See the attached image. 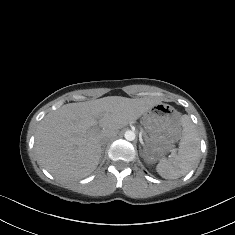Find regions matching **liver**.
I'll return each mask as SVG.
<instances>
[{
	"mask_svg": "<svg viewBox=\"0 0 235 235\" xmlns=\"http://www.w3.org/2000/svg\"><path fill=\"white\" fill-rule=\"evenodd\" d=\"M160 102L156 97H105L66 104L48 113L34 133L39 167L63 182L87 177L101 160V140L116 136ZM96 119L100 131L91 129Z\"/></svg>",
	"mask_w": 235,
	"mask_h": 235,
	"instance_id": "liver-1",
	"label": "liver"
}]
</instances>
